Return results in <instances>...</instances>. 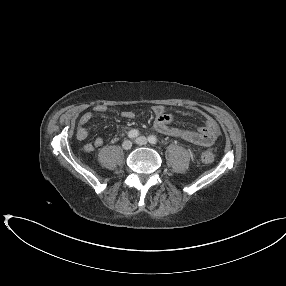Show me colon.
<instances>
[{
    "label": "colon",
    "mask_w": 286,
    "mask_h": 286,
    "mask_svg": "<svg viewBox=\"0 0 286 286\" xmlns=\"http://www.w3.org/2000/svg\"><path fill=\"white\" fill-rule=\"evenodd\" d=\"M201 160H202V162L205 163V164H210V163H212L213 160H214V155H213V153L210 152V151H205V152H203L202 155H201Z\"/></svg>",
    "instance_id": "1"
}]
</instances>
